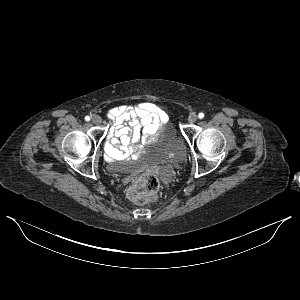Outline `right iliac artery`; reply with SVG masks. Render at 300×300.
<instances>
[{"mask_svg": "<svg viewBox=\"0 0 300 300\" xmlns=\"http://www.w3.org/2000/svg\"><path fill=\"white\" fill-rule=\"evenodd\" d=\"M85 120H86V121H90V117H89V116H86V117H85Z\"/></svg>", "mask_w": 300, "mask_h": 300, "instance_id": "1", "label": "right iliac artery"}]
</instances>
